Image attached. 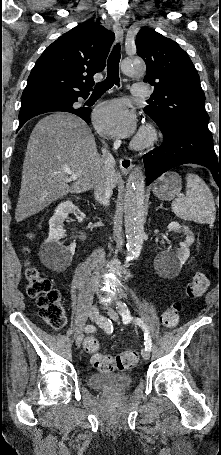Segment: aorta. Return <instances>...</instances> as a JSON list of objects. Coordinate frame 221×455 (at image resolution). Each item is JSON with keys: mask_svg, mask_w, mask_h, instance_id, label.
<instances>
[{"mask_svg": "<svg viewBox=\"0 0 221 455\" xmlns=\"http://www.w3.org/2000/svg\"><path fill=\"white\" fill-rule=\"evenodd\" d=\"M122 72L127 76H142L146 72V66L138 57H128L122 61ZM144 200H145V176L140 168L129 175L124 194V224L127 239L128 260L137 258L142 249L144 239Z\"/></svg>", "mask_w": 221, "mask_h": 455, "instance_id": "762f6f07", "label": "aorta"}]
</instances>
